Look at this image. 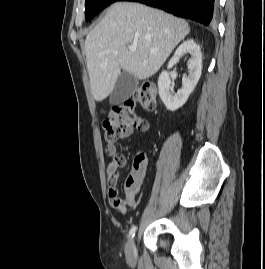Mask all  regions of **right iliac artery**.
I'll return each mask as SVG.
<instances>
[{"label": "right iliac artery", "mask_w": 265, "mask_h": 269, "mask_svg": "<svg viewBox=\"0 0 265 269\" xmlns=\"http://www.w3.org/2000/svg\"><path fill=\"white\" fill-rule=\"evenodd\" d=\"M136 230H137V227L136 226H133L131 228V230L129 231V238H133L134 237Z\"/></svg>", "instance_id": "obj_1"}]
</instances>
